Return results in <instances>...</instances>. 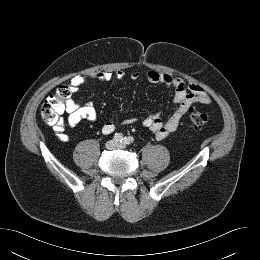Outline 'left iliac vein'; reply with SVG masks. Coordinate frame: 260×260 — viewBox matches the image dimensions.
<instances>
[{"label":"left iliac vein","instance_id":"left-iliac-vein-1","mask_svg":"<svg viewBox=\"0 0 260 260\" xmlns=\"http://www.w3.org/2000/svg\"><path fill=\"white\" fill-rule=\"evenodd\" d=\"M126 145L124 143L117 144V148L124 149Z\"/></svg>","mask_w":260,"mask_h":260}]
</instances>
